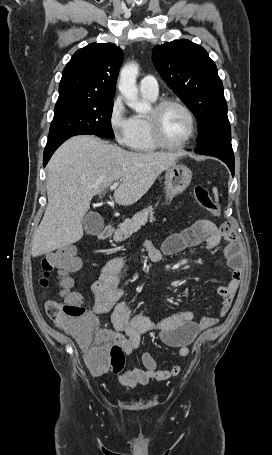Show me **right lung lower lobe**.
Instances as JSON below:
<instances>
[{
	"label": "right lung lower lobe",
	"instance_id": "obj_1",
	"mask_svg": "<svg viewBox=\"0 0 272 455\" xmlns=\"http://www.w3.org/2000/svg\"><path fill=\"white\" fill-rule=\"evenodd\" d=\"M68 138H70V136L47 142L45 150H44V159H43L44 166L48 163L49 159L51 158V156L55 152V150Z\"/></svg>",
	"mask_w": 272,
	"mask_h": 455
}]
</instances>
